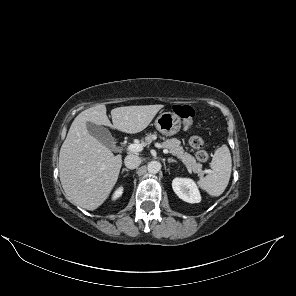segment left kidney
<instances>
[{
    "label": "left kidney",
    "mask_w": 296,
    "mask_h": 296,
    "mask_svg": "<svg viewBox=\"0 0 296 296\" xmlns=\"http://www.w3.org/2000/svg\"><path fill=\"white\" fill-rule=\"evenodd\" d=\"M172 188L176 195L185 202L199 203L201 195L197 185L189 178H175L172 181Z\"/></svg>",
    "instance_id": "obj_1"
}]
</instances>
